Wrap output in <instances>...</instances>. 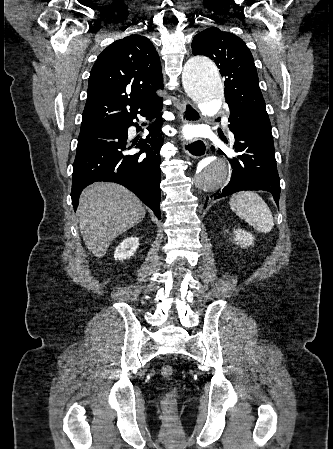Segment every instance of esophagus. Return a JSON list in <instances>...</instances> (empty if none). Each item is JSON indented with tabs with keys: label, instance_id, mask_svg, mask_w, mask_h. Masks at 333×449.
Here are the masks:
<instances>
[{
	"label": "esophagus",
	"instance_id": "esophagus-1",
	"mask_svg": "<svg viewBox=\"0 0 333 449\" xmlns=\"http://www.w3.org/2000/svg\"><path fill=\"white\" fill-rule=\"evenodd\" d=\"M180 117L183 124L199 123L201 115L198 109L188 100L181 103ZM183 151L192 158H201L206 153V143L200 138L186 141L183 144Z\"/></svg>",
	"mask_w": 333,
	"mask_h": 449
}]
</instances>
